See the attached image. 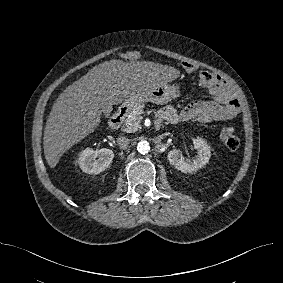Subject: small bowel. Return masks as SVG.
I'll return each mask as SVG.
<instances>
[{"label":"small bowel","mask_w":283,"mask_h":283,"mask_svg":"<svg viewBox=\"0 0 283 283\" xmlns=\"http://www.w3.org/2000/svg\"><path fill=\"white\" fill-rule=\"evenodd\" d=\"M185 66L188 72L196 70V67L192 64L185 63ZM198 82L213 96L212 101H194L180 111L167 106L160 109L156 117H159L162 122L168 121L172 124L190 121L208 123L233 117L239 112L240 104L238 100L221 77L209 71L201 70L198 72Z\"/></svg>","instance_id":"small-bowel-1"}]
</instances>
